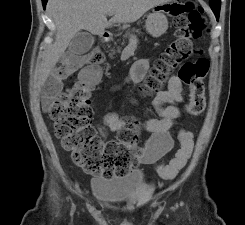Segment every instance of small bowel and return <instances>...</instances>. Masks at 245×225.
Wrapping results in <instances>:
<instances>
[{
    "label": "small bowel",
    "instance_id": "obj_1",
    "mask_svg": "<svg viewBox=\"0 0 245 225\" xmlns=\"http://www.w3.org/2000/svg\"><path fill=\"white\" fill-rule=\"evenodd\" d=\"M152 58H143L137 60L131 67L130 71L124 76L121 85H116L111 88V91H117L124 84L138 83L145 77ZM86 72L91 74L87 83L89 87L94 88L101 75V67L98 65L90 66ZM185 87L180 76L172 74L168 81V89L159 92L154 101V110L158 117L146 118L138 121L143 131L149 134L146 142L141 148L140 153L133 155V160L138 165H153L156 164L163 156H165L173 147V135L176 133L179 142L181 137L187 133L191 137V133L183 129H177L176 123L181 116V111L178 104L184 99ZM49 107V102H44V110ZM104 127H100L99 131L102 136H105L106 129L111 132H119L130 120L122 118L114 112H107L103 118Z\"/></svg>",
    "mask_w": 245,
    "mask_h": 225
}]
</instances>
